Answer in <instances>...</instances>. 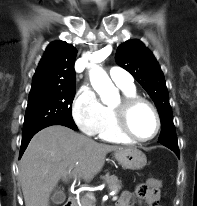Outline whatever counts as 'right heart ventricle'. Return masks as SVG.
Segmentation results:
<instances>
[{
  "label": "right heart ventricle",
  "instance_id": "e07e8e85",
  "mask_svg": "<svg viewBox=\"0 0 197 206\" xmlns=\"http://www.w3.org/2000/svg\"><path fill=\"white\" fill-rule=\"evenodd\" d=\"M125 95H136V90L134 86H120L118 85ZM97 135L100 139L114 142V143H123L127 142V138L122 136L114 122L113 112L111 107H105V113L103 121L98 129Z\"/></svg>",
  "mask_w": 197,
  "mask_h": 206
}]
</instances>
